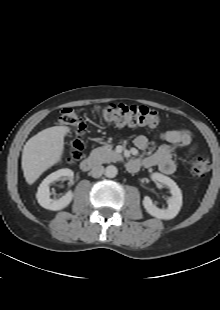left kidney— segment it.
<instances>
[{
    "label": "left kidney",
    "instance_id": "obj_1",
    "mask_svg": "<svg viewBox=\"0 0 220 310\" xmlns=\"http://www.w3.org/2000/svg\"><path fill=\"white\" fill-rule=\"evenodd\" d=\"M151 177L153 180L158 181L163 185H166L170 189L171 197H169L167 200V209H159L156 205L153 204L150 197L145 196L143 200L144 208L150 215L158 219H173L179 213L182 207V192L180 188L171 178L163 174L154 173Z\"/></svg>",
    "mask_w": 220,
    "mask_h": 310
}]
</instances>
